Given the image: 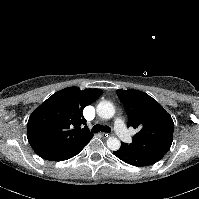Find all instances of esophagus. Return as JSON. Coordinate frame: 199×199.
Segmentation results:
<instances>
[{"label":"esophagus","instance_id":"esophagus-1","mask_svg":"<svg viewBox=\"0 0 199 199\" xmlns=\"http://www.w3.org/2000/svg\"><path fill=\"white\" fill-rule=\"evenodd\" d=\"M101 135L103 137L107 138V137H110L112 134L103 132V133H101Z\"/></svg>","mask_w":199,"mask_h":199}]
</instances>
